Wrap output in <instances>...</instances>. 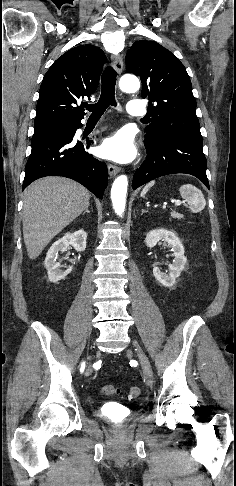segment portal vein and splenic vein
Masks as SVG:
<instances>
[{"mask_svg": "<svg viewBox=\"0 0 236 486\" xmlns=\"http://www.w3.org/2000/svg\"><path fill=\"white\" fill-rule=\"evenodd\" d=\"M181 204H182V202H181V201H179V200L175 201V206H176V207H179Z\"/></svg>", "mask_w": 236, "mask_h": 486, "instance_id": "1", "label": "portal vein and splenic vein"}]
</instances>
